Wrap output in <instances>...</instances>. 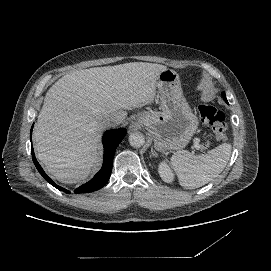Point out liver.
<instances>
[{
	"instance_id": "obj_1",
	"label": "liver",
	"mask_w": 271,
	"mask_h": 271,
	"mask_svg": "<svg viewBox=\"0 0 271 271\" xmlns=\"http://www.w3.org/2000/svg\"><path fill=\"white\" fill-rule=\"evenodd\" d=\"M167 66L133 62L74 71L47 92L33 131L36 155L59 181L86 179L103 129L98 118L124 120L126 110L153 104Z\"/></svg>"
}]
</instances>
